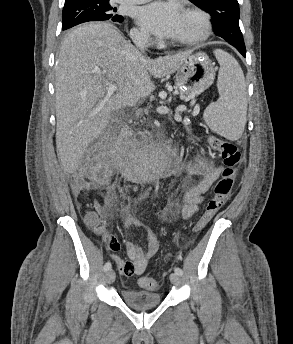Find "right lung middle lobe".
<instances>
[{
    "label": "right lung middle lobe",
    "mask_w": 293,
    "mask_h": 344,
    "mask_svg": "<svg viewBox=\"0 0 293 344\" xmlns=\"http://www.w3.org/2000/svg\"><path fill=\"white\" fill-rule=\"evenodd\" d=\"M116 10L110 7L109 0H77L65 3L62 13V29L66 30L88 21L122 19L114 15Z\"/></svg>",
    "instance_id": "right-lung-middle-lobe-1"
}]
</instances>
